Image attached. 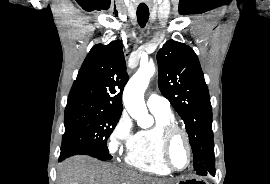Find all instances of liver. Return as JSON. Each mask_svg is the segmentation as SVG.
I'll use <instances>...</instances> for the list:
<instances>
[{
  "label": "liver",
  "mask_w": 270,
  "mask_h": 184,
  "mask_svg": "<svg viewBox=\"0 0 270 184\" xmlns=\"http://www.w3.org/2000/svg\"><path fill=\"white\" fill-rule=\"evenodd\" d=\"M57 184H170L88 156H73L58 169Z\"/></svg>",
  "instance_id": "obj_1"
}]
</instances>
